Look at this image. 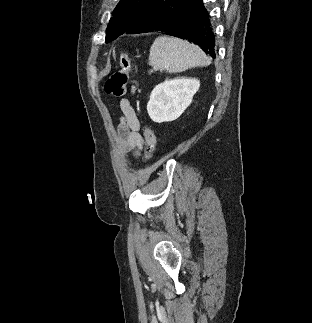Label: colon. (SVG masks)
<instances>
[{
    "mask_svg": "<svg viewBox=\"0 0 312 323\" xmlns=\"http://www.w3.org/2000/svg\"><path fill=\"white\" fill-rule=\"evenodd\" d=\"M130 69L131 61L129 55L121 54L118 60V69L112 73L105 86V90L109 95L119 98L125 94ZM143 139L146 145L144 159L149 161L152 158L156 145V136L150 127L143 129Z\"/></svg>",
    "mask_w": 312,
    "mask_h": 323,
    "instance_id": "5ec220e1",
    "label": "colon"
}]
</instances>
